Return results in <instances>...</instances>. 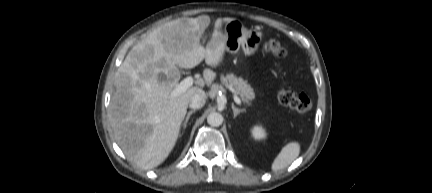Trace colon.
I'll use <instances>...</instances> for the list:
<instances>
[{
	"label": "colon",
	"mask_w": 432,
	"mask_h": 193,
	"mask_svg": "<svg viewBox=\"0 0 432 193\" xmlns=\"http://www.w3.org/2000/svg\"><path fill=\"white\" fill-rule=\"evenodd\" d=\"M263 50L268 56L273 58H280L285 55L284 46L276 38L269 39L264 44ZM278 99L281 104L299 113H306L313 106L311 99L306 94H296L285 84L279 89Z\"/></svg>",
	"instance_id": "colon-1"
}]
</instances>
